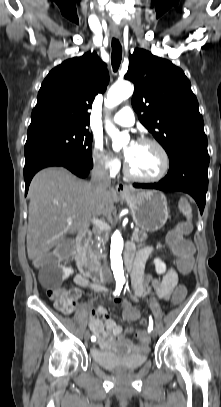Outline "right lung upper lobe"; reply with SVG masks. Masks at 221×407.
I'll return each instance as SVG.
<instances>
[{"instance_id": "obj_1", "label": "right lung upper lobe", "mask_w": 221, "mask_h": 407, "mask_svg": "<svg viewBox=\"0 0 221 407\" xmlns=\"http://www.w3.org/2000/svg\"><path fill=\"white\" fill-rule=\"evenodd\" d=\"M109 82L106 64L96 53L64 61L49 72L38 93L29 128L47 125L87 127L88 109Z\"/></svg>"}]
</instances>
